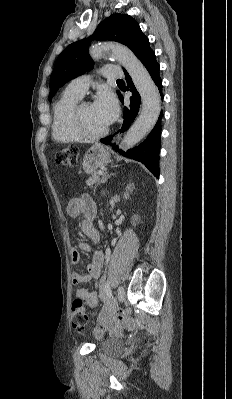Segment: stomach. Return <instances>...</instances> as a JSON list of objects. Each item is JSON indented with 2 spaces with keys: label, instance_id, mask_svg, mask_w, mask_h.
Here are the masks:
<instances>
[{
  "label": "stomach",
  "instance_id": "1",
  "mask_svg": "<svg viewBox=\"0 0 232 399\" xmlns=\"http://www.w3.org/2000/svg\"><path fill=\"white\" fill-rule=\"evenodd\" d=\"M108 162H110L109 152H107L105 146H102L99 142H95L92 148H89L88 152H86L82 166L86 174H92V172H96L99 166L108 164Z\"/></svg>",
  "mask_w": 232,
  "mask_h": 399
}]
</instances>
